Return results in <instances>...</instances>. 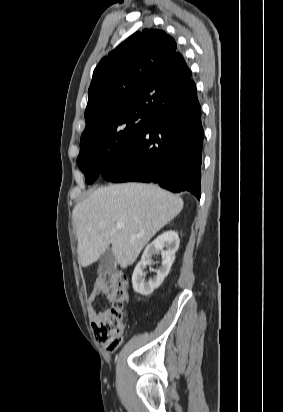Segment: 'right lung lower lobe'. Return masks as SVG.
<instances>
[{"instance_id": "right-lung-lower-lobe-1", "label": "right lung lower lobe", "mask_w": 283, "mask_h": 412, "mask_svg": "<svg viewBox=\"0 0 283 412\" xmlns=\"http://www.w3.org/2000/svg\"><path fill=\"white\" fill-rule=\"evenodd\" d=\"M203 136L201 107L190 78L168 95L128 152L100 176L111 182H154L200 199Z\"/></svg>"}]
</instances>
